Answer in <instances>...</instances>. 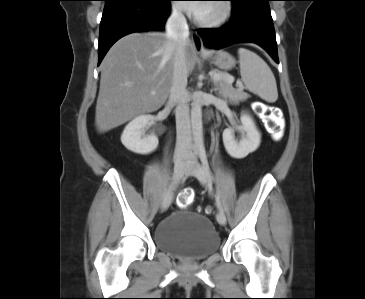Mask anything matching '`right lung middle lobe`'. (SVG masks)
Instances as JSON below:
<instances>
[{"instance_id":"dd1d6c3e","label":"right lung middle lobe","mask_w":365,"mask_h":299,"mask_svg":"<svg viewBox=\"0 0 365 299\" xmlns=\"http://www.w3.org/2000/svg\"><path fill=\"white\" fill-rule=\"evenodd\" d=\"M109 1H112V0H105V3H106V2H109Z\"/></svg>"}]
</instances>
